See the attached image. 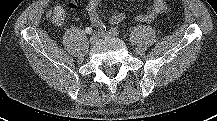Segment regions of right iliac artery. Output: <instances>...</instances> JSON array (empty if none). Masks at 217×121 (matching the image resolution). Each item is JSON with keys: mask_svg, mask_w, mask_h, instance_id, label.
<instances>
[{"mask_svg": "<svg viewBox=\"0 0 217 121\" xmlns=\"http://www.w3.org/2000/svg\"><path fill=\"white\" fill-rule=\"evenodd\" d=\"M106 31V26L102 25L98 28V33H104Z\"/></svg>", "mask_w": 217, "mask_h": 121, "instance_id": "1", "label": "right iliac artery"}]
</instances>
